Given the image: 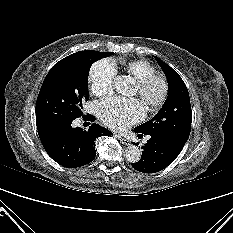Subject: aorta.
Instances as JSON below:
<instances>
[{"instance_id": "762f6f07", "label": "aorta", "mask_w": 233, "mask_h": 233, "mask_svg": "<svg viewBox=\"0 0 233 233\" xmlns=\"http://www.w3.org/2000/svg\"><path fill=\"white\" fill-rule=\"evenodd\" d=\"M132 79L129 76L118 75L114 80V87L118 93L130 94L132 88ZM124 157L130 163H136L141 158V149L138 146L130 145L125 149Z\"/></svg>"}]
</instances>
